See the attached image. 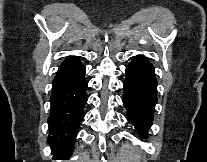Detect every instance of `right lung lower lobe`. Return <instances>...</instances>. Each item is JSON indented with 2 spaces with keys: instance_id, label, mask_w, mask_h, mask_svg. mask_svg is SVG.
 Masks as SVG:
<instances>
[{
  "instance_id": "1",
  "label": "right lung lower lobe",
  "mask_w": 207,
  "mask_h": 162,
  "mask_svg": "<svg viewBox=\"0 0 207 162\" xmlns=\"http://www.w3.org/2000/svg\"><path fill=\"white\" fill-rule=\"evenodd\" d=\"M84 75L85 67L73 56L61 64L52 82L48 142L53 146V157L56 160L69 158L80 122L84 118L83 109L87 102V81Z\"/></svg>"
}]
</instances>
